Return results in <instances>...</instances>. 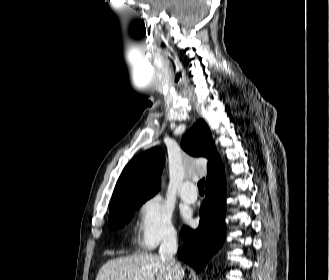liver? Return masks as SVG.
<instances>
[{
  "instance_id": "obj_1",
  "label": "liver",
  "mask_w": 329,
  "mask_h": 280,
  "mask_svg": "<svg viewBox=\"0 0 329 280\" xmlns=\"http://www.w3.org/2000/svg\"><path fill=\"white\" fill-rule=\"evenodd\" d=\"M174 275L159 256L143 253L107 261L96 280H175Z\"/></svg>"
}]
</instances>
